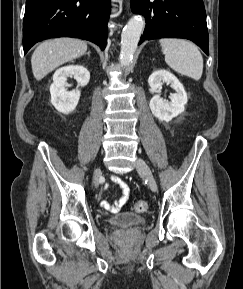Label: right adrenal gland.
I'll return each instance as SVG.
<instances>
[{"label": "right adrenal gland", "mask_w": 243, "mask_h": 289, "mask_svg": "<svg viewBox=\"0 0 243 289\" xmlns=\"http://www.w3.org/2000/svg\"><path fill=\"white\" fill-rule=\"evenodd\" d=\"M87 55L90 56V51L87 52Z\"/></svg>", "instance_id": "2a0ac1e0"}]
</instances>
